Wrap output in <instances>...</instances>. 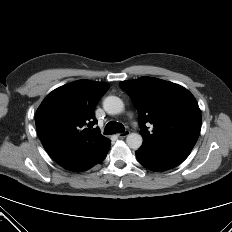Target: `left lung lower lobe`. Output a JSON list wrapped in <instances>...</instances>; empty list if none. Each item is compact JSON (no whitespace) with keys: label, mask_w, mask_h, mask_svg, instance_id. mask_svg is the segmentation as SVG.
<instances>
[{"label":"left lung lower lobe","mask_w":232,"mask_h":232,"mask_svg":"<svg viewBox=\"0 0 232 232\" xmlns=\"http://www.w3.org/2000/svg\"><path fill=\"white\" fill-rule=\"evenodd\" d=\"M192 148L193 146L188 144L155 146L143 143L136 151V157L145 168L161 172L182 163L188 157Z\"/></svg>","instance_id":"0a47b994"}]
</instances>
